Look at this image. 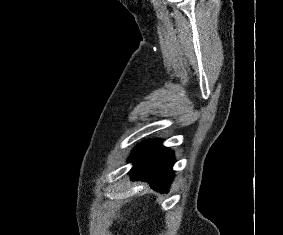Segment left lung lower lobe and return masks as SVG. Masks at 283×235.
<instances>
[{"instance_id":"obj_1","label":"left lung lower lobe","mask_w":283,"mask_h":235,"mask_svg":"<svg viewBox=\"0 0 283 235\" xmlns=\"http://www.w3.org/2000/svg\"><path fill=\"white\" fill-rule=\"evenodd\" d=\"M130 161L134 162L131 177L149 182L156 191L167 192L173 177L174 156L159 140L140 144L132 152Z\"/></svg>"}]
</instances>
